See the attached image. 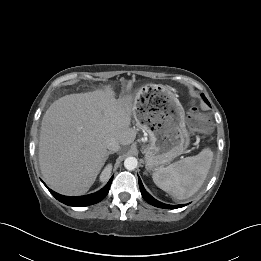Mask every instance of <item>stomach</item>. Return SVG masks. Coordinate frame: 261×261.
Here are the masks:
<instances>
[{"mask_svg":"<svg viewBox=\"0 0 261 261\" xmlns=\"http://www.w3.org/2000/svg\"><path fill=\"white\" fill-rule=\"evenodd\" d=\"M133 115L149 135V144L143 149L147 169L170 163L188 148L185 111L170 88L156 84L144 87L135 99Z\"/></svg>","mask_w":261,"mask_h":261,"instance_id":"0dacf381","label":"stomach"}]
</instances>
